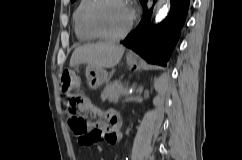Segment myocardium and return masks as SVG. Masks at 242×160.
<instances>
[{
  "label": "myocardium",
  "instance_id": "obj_1",
  "mask_svg": "<svg viewBox=\"0 0 242 160\" xmlns=\"http://www.w3.org/2000/svg\"><path fill=\"white\" fill-rule=\"evenodd\" d=\"M124 1L126 3H128L127 0H124ZM102 2H104V0H93L87 9L86 24H87L88 28L91 30V32L94 33L98 38L108 40V41H118V40H121V39L125 38L126 36H128V34L132 31V29L135 25V22H136V18H137L136 11L128 3V5L131 7L132 14H131L130 22H129L128 26L126 27V29L122 33L117 34V35L107 34L99 28V26L97 25L96 19H95L96 10L98 9V7L100 6V4Z\"/></svg>",
  "mask_w": 242,
  "mask_h": 160
}]
</instances>
